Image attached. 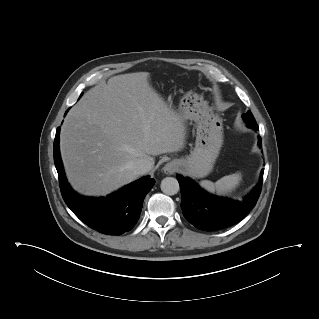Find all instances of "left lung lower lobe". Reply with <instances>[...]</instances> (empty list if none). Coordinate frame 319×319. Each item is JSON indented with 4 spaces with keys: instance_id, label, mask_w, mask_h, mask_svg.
I'll use <instances>...</instances> for the list:
<instances>
[{
    "instance_id": "obj_1",
    "label": "left lung lower lobe",
    "mask_w": 319,
    "mask_h": 319,
    "mask_svg": "<svg viewBox=\"0 0 319 319\" xmlns=\"http://www.w3.org/2000/svg\"><path fill=\"white\" fill-rule=\"evenodd\" d=\"M248 127L258 130V126L247 124ZM259 145L261 138L259 137ZM264 169L261 172L259 183L252 192L240 201L210 195L201 189L190 178L177 175L180 184L183 215L196 228L204 231H215L232 226L244 219L256 205L259 198Z\"/></svg>"
}]
</instances>
